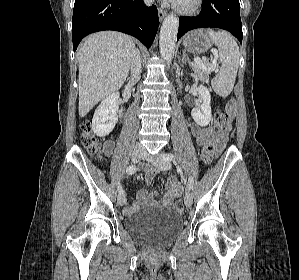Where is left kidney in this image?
Masks as SVG:
<instances>
[{"label":"left kidney","instance_id":"obj_1","mask_svg":"<svg viewBox=\"0 0 299 280\" xmlns=\"http://www.w3.org/2000/svg\"><path fill=\"white\" fill-rule=\"evenodd\" d=\"M198 94L201 100V104L194 107L191 111V115L194 121L200 126H207L212 118L211 112V95L207 87L200 85L198 87Z\"/></svg>","mask_w":299,"mask_h":280}]
</instances>
